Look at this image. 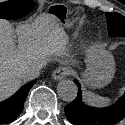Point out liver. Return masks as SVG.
I'll list each match as a JSON object with an SVG mask.
<instances>
[{"instance_id": "obj_1", "label": "liver", "mask_w": 125, "mask_h": 125, "mask_svg": "<svg viewBox=\"0 0 125 125\" xmlns=\"http://www.w3.org/2000/svg\"><path fill=\"white\" fill-rule=\"evenodd\" d=\"M67 44L60 22L51 15L41 14L16 29L0 19V101L22 85L23 71L52 56H67Z\"/></svg>"}]
</instances>
